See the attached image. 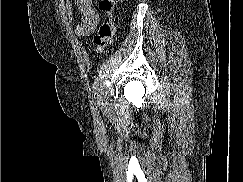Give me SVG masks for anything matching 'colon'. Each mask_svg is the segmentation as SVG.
Wrapping results in <instances>:
<instances>
[{
	"label": "colon",
	"mask_w": 243,
	"mask_h": 182,
	"mask_svg": "<svg viewBox=\"0 0 243 182\" xmlns=\"http://www.w3.org/2000/svg\"><path fill=\"white\" fill-rule=\"evenodd\" d=\"M119 0H100L99 9L106 15V20L101 23L94 36L97 53H103L112 43L115 26L113 12Z\"/></svg>",
	"instance_id": "colon-1"
}]
</instances>
